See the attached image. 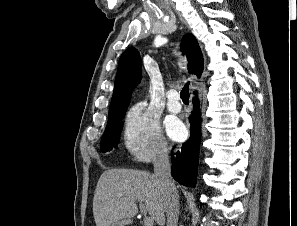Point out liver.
<instances>
[{"label":"liver","mask_w":297,"mask_h":226,"mask_svg":"<svg viewBox=\"0 0 297 226\" xmlns=\"http://www.w3.org/2000/svg\"><path fill=\"white\" fill-rule=\"evenodd\" d=\"M136 201L158 225L165 224L164 190L154 175L133 169H111L100 176L94 198L93 215L96 226H113L138 213Z\"/></svg>","instance_id":"obj_1"}]
</instances>
